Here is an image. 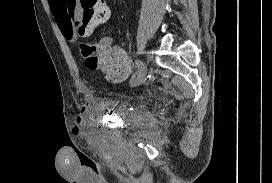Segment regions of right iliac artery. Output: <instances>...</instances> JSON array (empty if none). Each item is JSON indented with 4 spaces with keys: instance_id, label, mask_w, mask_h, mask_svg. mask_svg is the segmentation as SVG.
<instances>
[{
    "instance_id": "obj_1",
    "label": "right iliac artery",
    "mask_w": 272,
    "mask_h": 183,
    "mask_svg": "<svg viewBox=\"0 0 272 183\" xmlns=\"http://www.w3.org/2000/svg\"><path fill=\"white\" fill-rule=\"evenodd\" d=\"M143 65V63L140 60H135L133 63V66L135 68H137L138 70H134L133 75L130 77L131 81H136L137 78H140V76L142 75V70H139L140 67Z\"/></svg>"
}]
</instances>
